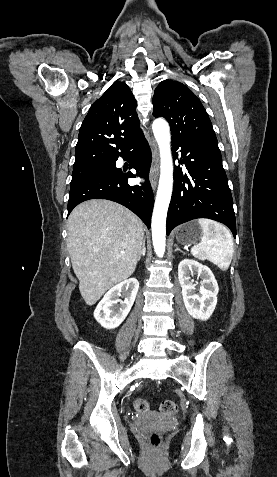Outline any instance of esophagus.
Instances as JSON below:
<instances>
[{"label": "esophagus", "instance_id": "1", "mask_svg": "<svg viewBox=\"0 0 277 477\" xmlns=\"http://www.w3.org/2000/svg\"><path fill=\"white\" fill-rule=\"evenodd\" d=\"M159 176V152L155 141H152V164L150 169V183L153 190L156 189Z\"/></svg>", "mask_w": 277, "mask_h": 477}]
</instances>
